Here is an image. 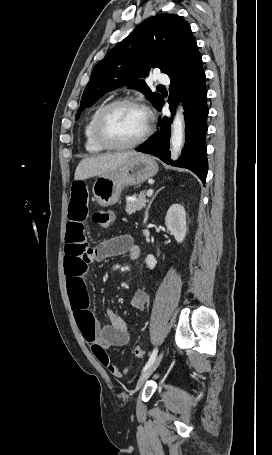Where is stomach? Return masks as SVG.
<instances>
[{
	"label": "stomach",
	"instance_id": "1",
	"mask_svg": "<svg viewBox=\"0 0 272 455\" xmlns=\"http://www.w3.org/2000/svg\"><path fill=\"white\" fill-rule=\"evenodd\" d=\"M157 172L153 157L142 153L133 155L118 168L98 176L92 188L94 200L103 207L114 205L125 187L143 183Z\"/></svg>",
	"mask_w": 272,
	"mask_h": 455
}]
</instances>
